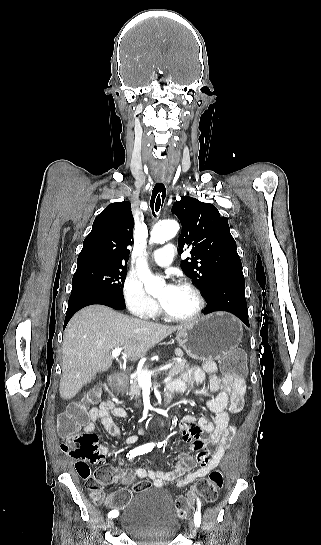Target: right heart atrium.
Wrapping results in <instances>:
<instances>
[{"mask_svg": "<svg viewBox=\"0 0 321 545\" xmlns=\"http://www.w3.org/2000/svg\"><path fill=\"white\" fill-rule=\"evenodd\" d=\"M121 293L127 310L135 317L151 320L157 316L159 307L146 297L140 277L128 275L122 284Z\"/></svg>", "mask_w": 321, "mask_h": 545, "instance_id": "obj_1", "label": "right heart atrium"}]
</instances>
